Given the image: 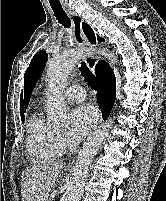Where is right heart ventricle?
Here are the masks:
<instances>
[{
    "label": "right heart ventricle",
    "instance_id": "right-heart-ventricle-1",
    "mask_svg": "<svg viewBox=\"0 0 166 201\" xmlns=\"http://www.w3.org/2000/svg\"><path fill=\"white\" fill-rule=\"evenodd\" d=\"M26 144L29 156L36 163L52 161L63 151L57 128L40 113L34 114L28 123Z\"/></svg>",
    "mask_w": 166,
    "mask_h": 201
}]
</instances>
